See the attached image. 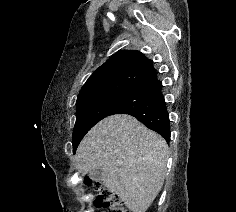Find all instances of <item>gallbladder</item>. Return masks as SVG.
<instances>
[{
  "label": "gallbladder",
  "mask_w": 236,
  "mask_h": 212,
  "mask_svg": "<svg viewBox=\"0 0 236 212\" xmlns=\"http://www.w3.org/2000/svg\"><path fill=\"white\" fill-rule=\"evenodd\" d=\"M89 177L94 181H102L103 180V171L100 168H97V169L89 172Z\"/></svg>",
  "instance_id": "obj_1"
}]
</instances>
